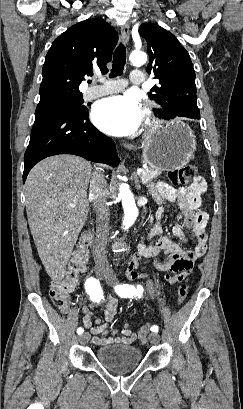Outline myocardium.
<instances>
[{"instance_id": "f54148a6", "label": "myocardium", "mask_w": 243, "mask_h": 409, "mask_svg": "<svg viewBox=\"0 0 243 409\" xmlns=\"http://www.w3.org/2000/svg\"><path fill=\"white\" fill-rule=\"evenodd\" d=\"M145 129L148 132L155 131L159 128L160 122L154 114V111L150 105H147L145 109Z\"/></svg>"}]
</instances>
